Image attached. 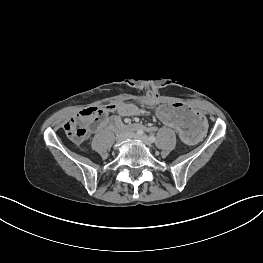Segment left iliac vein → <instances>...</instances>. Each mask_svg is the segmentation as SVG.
Segmentation results:
<instances>
[{"mask_svg": "<svg viewBox=\"0 0 263 263\" xmlns=\"http://www.w3.org/2000/svg\"><path fill=\"white\" fill-rule=\"evenodd\" d=\"M135 138L142 141L143 143L147 145H150V140L146 135H136Z\"/></svg>", "mask_w": 263, "mask_h": 263, "instance_id": "obj_1", "label": "left iliac vein"}]
</instances>
